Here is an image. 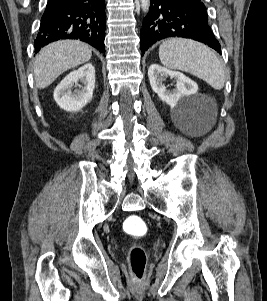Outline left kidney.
<instances>
[{"instance_id": "5707ae66", "label": "left kidney", "mask_w": 267, "mask_h": 301, "mask_svg": "<svg viewBox=\"0 0 267 301\" xmlns=\"http://www.w3.org/2000/svg\"><path fill=\"white\" fill-rule=\"evenodd\" d=\"M167 77L176 81L175 89L167 90L163 84ZM148 78L152 90L163 102L171 107H175L183 97L190 96L198 90L197 84L183 73L172 71L158 64H152L149 67Z\"/></svg>"}]
</instances>
